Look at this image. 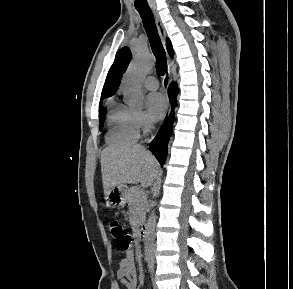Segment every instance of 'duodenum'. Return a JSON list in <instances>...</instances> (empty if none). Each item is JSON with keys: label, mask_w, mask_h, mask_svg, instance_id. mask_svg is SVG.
Here are the masks:
<instances>
[{"label": "duodenum", "mask_w": 293, "mask_h": 289, "mask_svg": "<svg viewBox=\"0 0 293 289\" xmlns=\"http://www.w3.org/2000/svg\"><path fill=\"white\" fill-rule=\"evenodd\" d=\"M137 238L140 242H145L147 239V227L145 225L138 229Z\"/></svg>", "instance_id": "410a0bca"}]
</instances>
